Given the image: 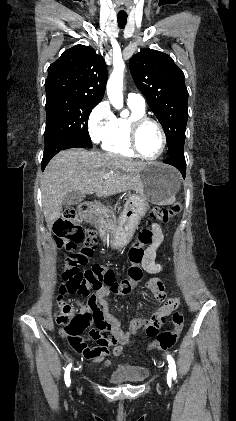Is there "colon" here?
Returning <instances> with one entry per match:
<instances>
[{"instance_id":"obj_1","label":"colon","mask_w":236,"mask_h":421,"mask_svg":"<svg viewBox=\"0 0 236 421\" xmlns=\"http://www.w3.org/2000/svg\"><path fill=\"white\" fill-rule=\"evenodd\" d=\"M182 210V205L176 203L171 207H155L151 210L150 217L155 220L167 222ZM78 215L74 208L67 207L62 211L61 217L54 224V238L59 248H65L70 255L66 260L62 274V285L56 313V322L63 328L68 343L84 357L98 356L106 352L108 343L103 339L97 348H90L82 337L83 331L91 321V308L82 306L79 310L62 300L65 294H79L89 296L91 292L107 290L111 296H129L135 285L143 278V269L140 262L144 258V247L152 242L153 235L149 229H142L137 242L130 248L128 258L131 266L128 268L127 277L118 281L114 271L102 264H94L85 271L84 266L92 256L96 245L95 231H84L78 224ZM157 248L154 249V256ZM153 266V263H152ZM161 290V289H160ZM173 328L159 333L156 339L149 344L150 350H168L179 339L184 326V315L181 311L172 314ZM162 320L156 322V326ZM150 333H155V326L149 327Z\"/></svg>"}]
</instances>
